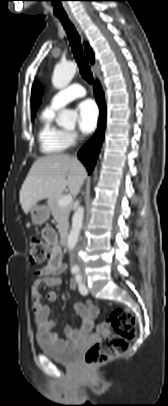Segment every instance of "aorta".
I'll return each mask as SVG.
<instances>
[{"mask_svg": "<svg viewBox=\"0 0 168 406\" xmlns=\"http://www.w3.org/2000/svg\"><path fill=\"white\" fill-rule=\"evenodd\" d=\"M77 66L74 62L69 61L56 65L52 84L57 89L65 88L72 80L76 73ZM77 118V113L72 110H62L58 116V124L63 127H73ZM84 216V207H79L72 218V229L68 235L67 247L73 250L78 242L80 231L82 228Z\"/></svg>", "mask_w": 168, "mask_h": 406, "instance_id": "aorta-1", "label": "aorta"}]
</instances>
